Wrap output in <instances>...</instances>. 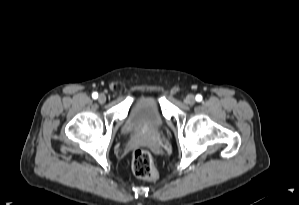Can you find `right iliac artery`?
Listing matches in <instances>:
<instances>
[{
	"label": "right iliac artery",
	"mask_w": 299,
	"mask_h": 205,
	"mask_svg": "<svg viewBox=\"0 0 299 205\" xmlns=\"http://www.w3.org/2000/svg\"><path fill=\"white\" fill-rule=\"evenodd\" d=\"M92 97H93L94 99H97V98H98V93H97V92H94V93L92 94Z\"/></svg>",
	"instance_id": "1"
}]
</instances>
